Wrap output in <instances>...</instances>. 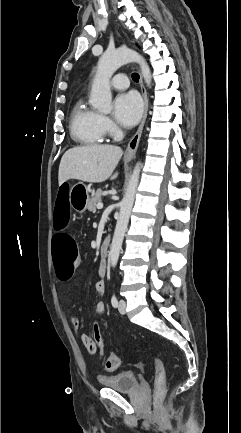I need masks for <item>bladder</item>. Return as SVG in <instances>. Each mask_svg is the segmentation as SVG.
<instances>
[{"label": "bladder", "mask_w": 241, "mask_h": 433, "mask_svg": "<svg viewBox=\"0 0 241 433\" xmlns=\"http://www.w3.org/2000/svg\"><path fill=\"white\" fill-rule=\"evenodd\" d=\"M98 382L105 388L132 392L138 388L139 378L133 371H122L111 375H101L98 377Z\"/></svg>", "instance_id": "31cf9c89"}]
</instances>
